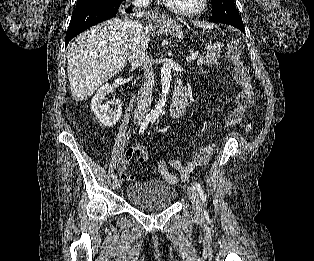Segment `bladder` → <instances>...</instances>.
Returning a JSON list of instances; mask_svg holds the SVG:
<instances>
[{
  "label": "bladder",
  "mask_w": 314,
  "mask_h": 261,
  "mask_svg": "<svg viewBox=\"0 0 314 261\" xmlns=\"http://www.w3.org/2000/svg\"><path fill=\"white\" fill-rule=\"evenodd\" d=\"M129 203L135 208L155 213L170 208L177 197L174 185L160 180L131 183L126 192Z\"/></svg>",
  "instance_id": "1"
}]
</instances>
